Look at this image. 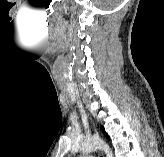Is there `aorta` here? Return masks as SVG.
Segmentation results:
<instances>
[{"instance_id":"obj_1","label":"aorta","mask_w":164,"mask_h":157,"mask_svg":"<svg viewBox=\"0 0 164 157\" xmlns=\"http://www.w3.org/2000/svg\"><path fill=\"white\" fill-rule=\"evenodd\" d=\"M98 149L103 150L106 153L107 157H113L112 150L102 140L91 139V140L84 141L81 145V150L85 154L91 153L92 151H95Z\"/></svg>"}]
</instances>
